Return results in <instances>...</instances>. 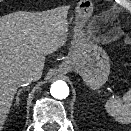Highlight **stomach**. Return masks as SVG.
<instances>
[{
	"label": "stomach",
	"mask_w": 131,
	"mask_h": 131,
	"mask_svg": "<svg viewBox=\"0 0 131 131\" xmlns=\"http://www.w3.org/2000/svg\"><path fill=\"white\" fill-rule=\"evenodd\" d=\"M64 65L67 66L64 72L79 73L85 84L94 91L105 84L110 73L109 57L100 46L85 49L81 57L71 58Z\"/></svg>",
	"instance_id": "1"
}]
</instances>
